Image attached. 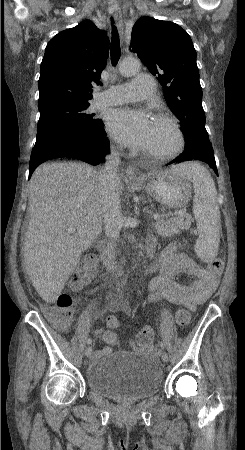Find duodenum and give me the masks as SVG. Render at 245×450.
Wrapping results in <instances>:
<instances>
[{
  "label": "duodenum",
  "instance_id": "duodenum-1",
  "mask_svg": "<svg viewBox=\"0 0 245 450\" xmlns=\"http://www.w3.org/2000/svg\"><path fill=\"white\" fill-rule=\"evenodd\" d=\"M115 244L114 241L109 240L105 244V248L102 252V261L104 266L114 273L125 272V266L115 256Z\"/></svg>",
  "mask_w": 245,
  "mask_h": 450
}]
</instances>
